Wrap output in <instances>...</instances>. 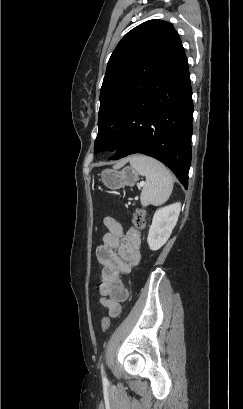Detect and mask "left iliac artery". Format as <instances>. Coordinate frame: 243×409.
Instances as JSON below:
<instances>
[{
	"instance_id": "1",
	"label": "left iliac artery",
	"mask_w": 243,
	"mask_h": 409,
	"mask_svg": "<svg viewBox=\"0 0 243 409\" xmlns=\"http://www.w3.org/2000/svg\"><path fill=\"white\" fill-rule=\"evenodd\" d=\"M101 373H102V380H103V382H106V381H107V378H106L105 375H104L103 364L101 365Z\"/></svg>"
}]
</instances>
